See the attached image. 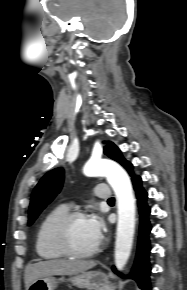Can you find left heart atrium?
Masks as SVG:
<instances>
[{
  "label": "left heart atrium",
  "instance_id": "1",
  "mask_svg": "<svg viewBox=\"0 0 187 290\" xmlns=\"http://www.w3.org/2000/svg\"><path fill=\"white\" fill-rule=\"evenodd\" d=\"M88 222L94 235L100 240L103 234V223L101 219L97 215L92 214L88 217Z\"/></svg>",
  "mask_w": 187,
  "mask_h": 290
}]
</instances>
